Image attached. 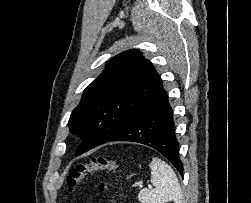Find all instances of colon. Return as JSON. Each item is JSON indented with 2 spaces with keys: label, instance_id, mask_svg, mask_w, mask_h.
Segmentation results:
<instances>
[{
  "label": "colon",
  "instance_id": "colon-1",
  "mask_svg": "<svg viewBox=\"0 0 251 203\" xmlns=\"http://www.w3.org/2000/svg\"><path fill=\"white\" fill-rule=\"evenodd\" d=\"M99 171H106L115 174L118 171V164L113 160L104 157H93L85 162H79L69 170L66 179L68 190L74 191L78 188L81 180L87 175ZM108 189L105 182L99 184V191L104 193Z\"/></svg>",
  "mask_w": 251,
  "mask_h": 203
}]
</instances>
